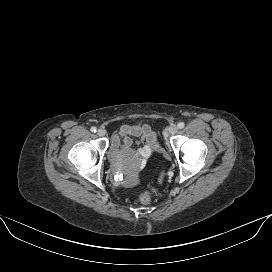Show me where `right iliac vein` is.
Returning <instances> with one entry per match:
<instances>
[{"mask_svg":"<svg viewBox=\"0 0 272 272\" xmlns=\"http://www.w3.org/2000/svg\"><path fill=\"white\" fill-rule=\"evenodd\" d=\"M97 134H98L99 136H104V135H105V130L99 129V130L97 131Z\"/></svg>","mask_w":272,"mask_h":272,"instance_id":"1","label":"right iliac vein"}]
</instances>
